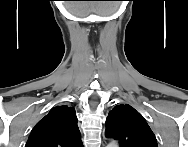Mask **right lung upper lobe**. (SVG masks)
<instances>
[{
	"label": "right lung upper lobe",
	"instance_id": "obj_1",
	"mask_svg": "<svg viewBox=\"0 0 188 147\" xmlns=\"http://www.w3.org/2000/svg\"><path fill=\"white\" fill-rule=\"evenodd\" d=\"M74 108L61 105L50 110L33 128L26 147H82Z\"/></svg>",
	"mask_w": 188,
	"mask_h": 147
}]
</instances>
